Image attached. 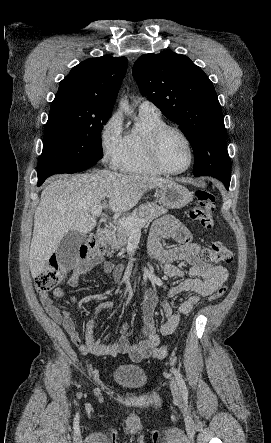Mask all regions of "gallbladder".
<instances>
[{"instance_id":"bac80fb5","label":"gallbladder","mask_w":271,"mask_h":443,"mask_svg":"<svg viewBox=\"0 0 271 443\" xmlns=\"http://www.w3.org/2000/svg\"><path fill=\"white\" fill-rule=\"evenodd\" d=\"M87 235H81L80 231H69L58 243L56 249L57 257L61 261L63 272L68 273L71 269L80 268V245L85 241Z\"/></svg>"}]
</instances>
